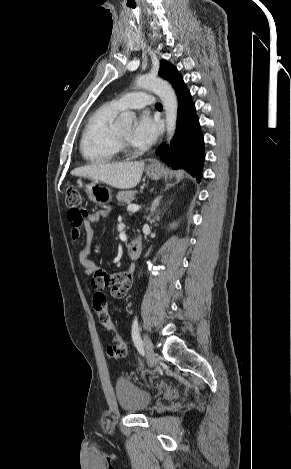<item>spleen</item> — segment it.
I'll return each instance as SVG.
<instances>
[{"label":"spleen","mask_w":291,"mask_h":469,"mask_svg":"<svg viewBox=\"0 0 291 469\" xmlns=\"http://www.w3.org/2000/svg\"><path fill=\"white\" fill-rule=\"evenodd\" d=\"M182 176H183V172H179L177 175L178 179L181 178Z\"/></svg>","instance_id":"1"}]
</instances>
